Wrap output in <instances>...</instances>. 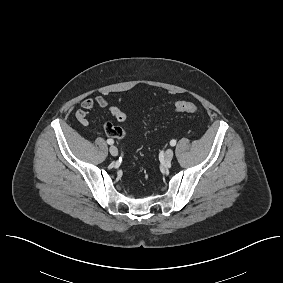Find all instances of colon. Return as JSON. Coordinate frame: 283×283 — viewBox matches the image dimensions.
I'll return each instance as SVG.
<instances>
[{"label":"colon","instance_id":"obj_1","mask_svg":"<svg viewBox=\"0 0 283 283\" xmlns=\"http://www.w3.org/2000/svg\"><path fill=\"white\" fill-rule=\"evenodd\" d=\"M172 110L178 113L194 114L198 112V107L192 102L179 101L172 106ZM103 129L104 132L111 137H118L119 135V128L111 123H106Z\"/></svg>","mask_w":283,"mask_h":283}]
</instances>
